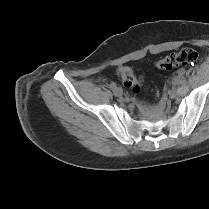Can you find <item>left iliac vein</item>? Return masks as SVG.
I'll use <instances>...</instances> for the list:
<instances>
[{
  "label": "left iliac vein",
  "mask_w": 209,
  "mask_h": 209,
  "mask_svg": "<svg viewBox=\"0 0 209 209\" xmlns=\"http://www.w3.org/2000/svg\"><path fill=\"white\" fill-rule=\"evenodd\" d=\"M181 78H182V76H181L180 73H175V74H174L173 81L171 82V85H172L174 88H177V87L180 85Z\"/></svg>",
  "instance_id": "1"
}]
</instances>
